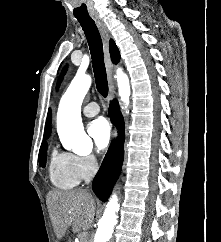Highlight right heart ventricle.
Segmentation results:
<instances>
[{
    "mask_svg": "<svg viewBox=\"0 0 221 242\" xmlns=\"http://www.w3.org/2000/svg\"><path fill=\"white\" fill-rule=\"evenodd\" d=\"M49 178L52 184L60 189L76 186L79 178L74 168L73 155L53 150L49 163Z\"/></svg>",
    "mask_w": 221,
    "mask_h": 242,
    "instance_id": "1",
    "label": "right heart ventricle"
}]
</instances>
